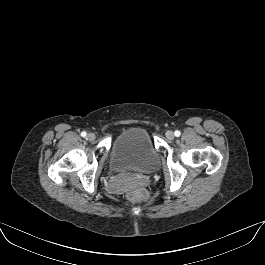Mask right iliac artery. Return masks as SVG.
<instances>
[{
    "mask_svg": "<svg viewBox=\"0 0 265 265\" xmlns=\"http://www.w3.org/2000/svg\"><path fill=\"white\" fill-rule=\"evenodd\" d=\"M87 133L85 131L81 132L82 137H86Z\"/></svg>",
    "mask_w": 265,
    "mask_h": 265,
    "instance_id": "1",
    "label": "right iliac artery"
}]
</instances>
